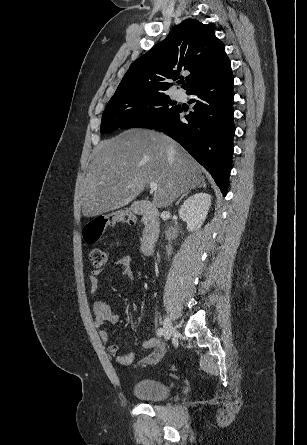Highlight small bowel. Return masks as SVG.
Returning a JSON list of instances; mask_svg holds the SVG:
<instances>
[{"label": "small bowel", "mask_w": 307, "mask_h": 445, "mask_svg": "<svg viewBox=\"0 0 307 445\" xmlns=\"http://www.w3.org/2000/svg\"><path fill=\"white\" fill-rule=\"evenodd\" d=\"M114 266H118L122 269L121 274L128 280H134V271L132 268V259L129 255H123L117 258L113 262ZM102 269H93L89 274V283L91 293L96 296L99 286V276L102 274ZM92 311L95 316V326L99 331L100 337L104 342L109 341L105 324L115 325L119 322L120 317L116 314L112 308L99 300H95L92 304ZM144 347L150 349V353L145 356L139 365H153L161 360L164 354L163 346L157 338H151L145 341ZM107 350L110 355L116 358V361L123 366H130L133 364L135 355L132 352L121 354L119 352V346L115 343H108Z\"/></svg>", "instance_id": "1"}]
</instances>
